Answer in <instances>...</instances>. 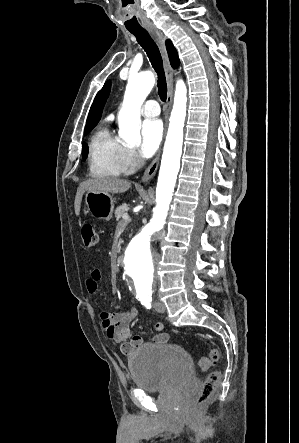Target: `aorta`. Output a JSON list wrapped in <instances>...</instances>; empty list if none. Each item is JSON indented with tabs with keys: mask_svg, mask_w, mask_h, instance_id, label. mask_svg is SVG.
<instances>
[{
	"mask_svg": "<svg viewBox=\"0 0 299 443\" xmlns=\"http://www.w3.org/2000/svg\"><path fill=\"white\" fill-rule=\"evenodd\" d=\"M155 77L152 72L130 76L122 108L118 115V135L126 143L140 141V109L152 90ZM187 109V89L182 80L176 84L174 104L164 145L156 188V207L150 221L132 238L124 258L125 271L133 280L137 299H152L155 289L156 257L150 242L163 230L180 169L183 146V128Z\"/></svg>",
	"mask_w": 299,
	"mask_h": 443,
	"instance_id": "aorta-1",
	"label": "aorta"
}]
</instances>
